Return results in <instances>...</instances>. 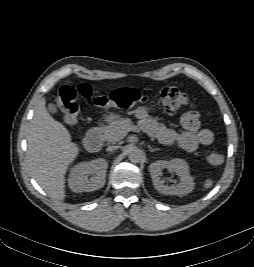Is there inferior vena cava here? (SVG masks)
<instances>
[{
  "instance_id": "1",
  "label": "inferior vena cava",
  "mask_w": 254,
  "mask_h": 267,
  "mask_svg": "<svg viewBox=\"0 0 254 267\" xmlns=\"http://www.w3.org/2000/svg\"><path fill=\"white\" fill-rule=\"evenodd\" d=\"M117 149H118V146H108L106 150H107L108 152H111V151H115V150H117Z\"/></svg>"
}]
</instances>
